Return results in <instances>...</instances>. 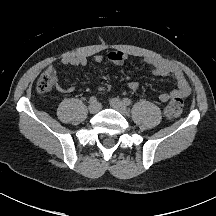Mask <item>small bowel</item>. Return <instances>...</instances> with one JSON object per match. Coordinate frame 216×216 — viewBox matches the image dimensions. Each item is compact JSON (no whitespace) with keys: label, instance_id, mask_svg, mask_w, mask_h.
Returning a JSON list of instances; mask_svg holds the SVG:
<instances>
[{"label":"small bowel","instance_id":"c3829d8e","mask_svg":"<svg viewBox=\"0 0 216 216\" xmlns=\"http://www.w3.org/2000/svg\"><path fill=\"white\" fill-rule=\"evenodd\" d=\"M129 55L123 51H112L107 55H96L93 60L96 63H102L104 60H108L114 64L122 65L126 61H128ZM142 61L148 64L153 71L154 75L161 76V77H169L173 79L176 83V88L170 92H162L159 94V100L163 103H166L170 99L174 98H186L189 96L191 89L190 86L184 76L183 71L172 64L171 62L161 59L154 56H145L142 58ZM87 64V59L82 56L78 57H66L62 58L55 65L50 66L48 70H56V67L59 65L62 66H76V67H83ZM128 88L132 91H136L139 88V83L137 81H130L128 83ZM57 89L60 92H70L72 88L63 86L61 84L57 85Z\"/></svg>","mask_w":216,"mask_h":216}]
</instances>
